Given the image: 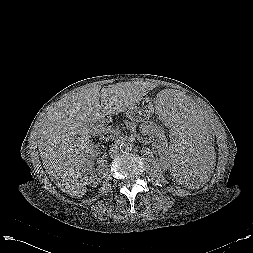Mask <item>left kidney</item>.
Instances as JSON below:
<instances>
[{
	"instance_id": "1",
	"label": "left kidney",
	"mask_w": 253,
	"mask_h": 253,
	"mask_svg": "<svg viewBox=\"0 0 253 253\" xmlns=\"http://www.w3.org/2000/svg\"><path fill=\"white\" fill-rule=\"evenodd\" d=\"M140 132L144 136L148 135L151 138H156L157 145L163 153L162 159H165V160L169 159L168 144L165 138V132L161 127L157 126L155 123L150 122V123L141 125ZM173 173H174V176L179 177L178 172H173Z\"/></svg>"
}]
</instances>
